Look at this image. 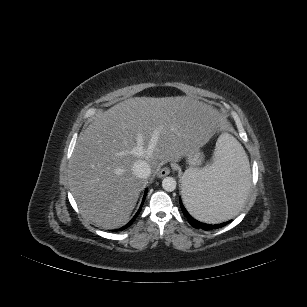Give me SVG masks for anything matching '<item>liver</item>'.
<instances>
[{"instance_id": "liver-1", "label": "liver", "mask_w": 307, "mask_h": 307, "mask_svg": "<svg viewBox=\"0 0 307 307\" xmlns=\"http://www.w3.org/2000/svg\"><path fill=\"white\" fill-rule=\"evenodd\" d=\"M211 106L185 96L134 97L99 113L81 132L69 165L70 190L82 215L104 229L123 226L143 181L137 160L156 168L204 145L220 121Z\"/></svg>"}]
</instances>
